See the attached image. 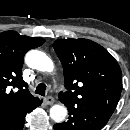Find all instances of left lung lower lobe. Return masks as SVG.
Instances as JSON below:
<instances>
[{
	"instance_id": "left-lung-lower-lobe-1",
	"label": "left lung lower lobe",
	"mask_w": 130,
	"mask_h": 130,
	"mask_svg": "<svg viewBox=\"0 0 130 130\" xmlns=\"http://www.w3.org/2000/svg\"><path fill=\"white\" fill-rule=\"evenodd\" d=\"M69 111L66 122L55 124L54 130H101L111 117L103 109L87 103L60 100Z\"/></svg>"
}]
</instances>
